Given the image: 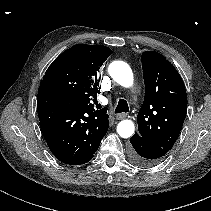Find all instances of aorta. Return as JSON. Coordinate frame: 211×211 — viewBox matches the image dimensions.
Listing matches in <instances>:
<instances>
[{"label":"aorta","instance_id":"1","mask_svg":"<svg viewBox=\"0 0 211 211\" xmlns=\"http://www.w3.org/2000/svg\"><path fill=\"white\" fill-rule=\"evenodd\" d=\"M112 79L123 87L133 84V73L129 65L123 61H113L108 68ZM135 125L131 120L125 119L117 125V133L122 138H129L134 134Z\"/></svg>","mask_w":211,"mask_h":211}]
</instances>
